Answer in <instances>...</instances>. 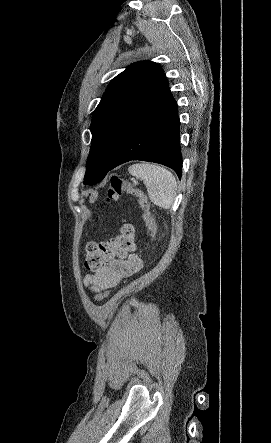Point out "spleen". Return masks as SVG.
<instances>
[{"label":"spleen","mask_w":271,"mask_h":443,"mask_svg":"<svg viewBox=\"0 0 271 443\" xmlns=\"http://www.w3.org/2000/svg\"><path fill=\"white\" fill-rule=\"evenodd\" d=\"M128 172L131 176L143 180L148 196L155 206L164 208V210L171 208L176 194L175 190H177V182L169 170L144 162V164H133Z\"/></svg>","instance_id":"spleen-1"}]
</instances>
